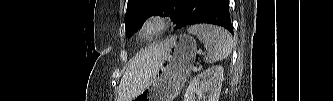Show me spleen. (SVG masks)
<instances>
[{
	"label": "spleen",
	"instance_id": "spleen-1",
	"mask_svg": "<svg viewBox=\"0 0 333 101\" xmlns=\"http://www.w3.org/2000/svg\"><path fill=\"white\" fill-rule=\"evenodd\" d=\"M188 32L196 35L204 44L207 55L205 63L212 64L227 58L233 47L230 33L218 26L199 24L188 28Z\"/></svg>",
	"mask_w": 333,
	"mask_h": 101
}]
</instances>
